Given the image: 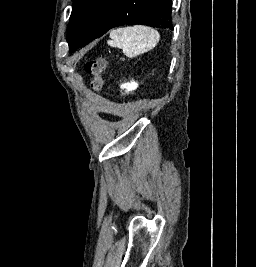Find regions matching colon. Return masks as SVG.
Masks as SVG:
<instances>
[{"instance_id": "1", "label": "colon", "mask_w": 256, "mask_h": 267, "mask_svg": "<svg viewBox=\"0 0 256 267\" xmlns=\"http://www.w3.org/2000/svg\"><path fill=\"white\" fill-rule=\"evenodd\" d=\"M107 61L103 57L91 58L85 64V71L91 76V88L95 93H99L104 85V72L107 68Z\"/></svg>"}]
</instances>
